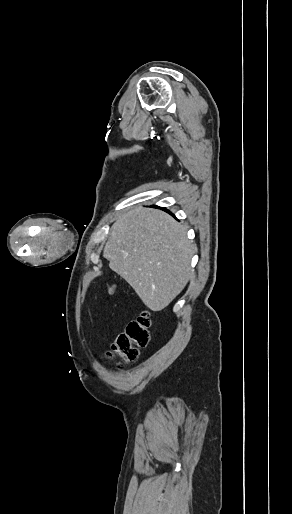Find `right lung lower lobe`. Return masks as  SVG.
<instances>
[{
    "instance_id": "98d812e1",
    "label": "right lung lower lobe",
    "mask_w": 292,
    "mask_h": 514,
    "mask_svg": "<svg viewBox=\"0 0 292 514\" xmlns=\"http://www.w3.org/2000/svg\"><path fill=\"white\" fill-rule=\"evenodd\" d=\"M155 207H156V208H158L157 206H155ZM161 209L166 210V209H164V208H161ZM166 211H168V210H166Z\"/></svg>"
}]
</instances>
